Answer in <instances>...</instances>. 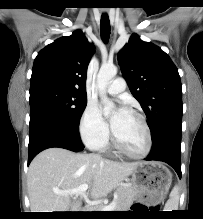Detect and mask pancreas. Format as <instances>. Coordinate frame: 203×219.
<instances>
[{
    "label": "pancreas",
    "mask_w": 203,
    "mask_h": 219,
    "mask_svg": "<svg viewBox=\"0 0 203 219\" xmlns=\"http://www.w3.org/2000/svg\"><path fill=\"white\" fill-rule=\"evenodd\" d=\"M115 194H116L117 198L115 200L116 207H115L114 211H124L131 206L133 200L135 199V197L137 195V192L134 189V187L121 186V187L117 188ZM103 206H104L103 204H100V205L94 207L95 209H93L92 211H101V208Z\"/></svg>",
    "instance_id": "1"
}]
</instances>
